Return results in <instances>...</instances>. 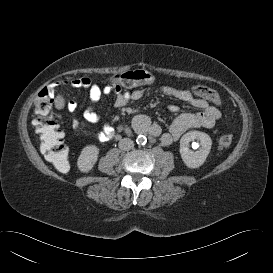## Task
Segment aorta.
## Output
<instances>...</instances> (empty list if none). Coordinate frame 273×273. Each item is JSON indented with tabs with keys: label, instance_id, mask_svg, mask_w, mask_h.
<instances>
[{
	"label": "aorta",
	"instance_id": "1",
	"mask_svg": "<svg viewBox=\"0 0 273 273\" xmlns=\"http://www.w3.org/2000/svg\"><path fill=\"white\" fill-rule=\"evenodd\" d=\"M137 144L145 145L147 142V138L144 135H139L136 139Z\"/></svg>",
	"mask_w": 273,
	"mask_h": 273
}]
</instances>
